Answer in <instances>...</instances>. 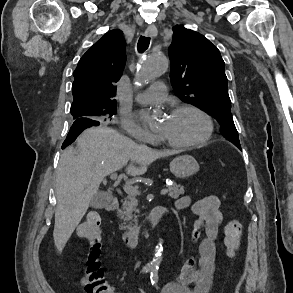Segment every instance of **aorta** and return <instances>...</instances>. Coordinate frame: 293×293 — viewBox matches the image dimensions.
<instances>
[{"mask_svg": "<svg viewBox=\"0 0 293 293\" xmlns=\"http://www.w3.org/2000/svg\"><path fill=\"white\" fill-rule=\"evenodd\" d=\"M167 64V58L162 53H149L141 60L136 78L141 83L152 81L163 74ZM161 260L162 246H157L155 256L148 265L150 270L153 272L157 271Z\"/></svg>", "mask_w": 293, "mask_h": 293, "instance_id": "1", "label": "aorta"}]
</instances>
